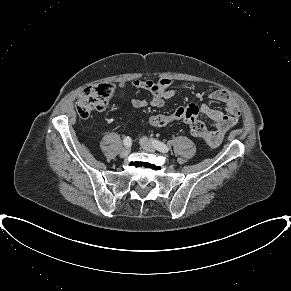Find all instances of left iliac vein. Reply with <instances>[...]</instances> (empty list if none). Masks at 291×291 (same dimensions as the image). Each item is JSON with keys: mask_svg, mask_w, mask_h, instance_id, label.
I'll list each match as a JSON object with an SVG mask.
<instances>
[{"mask_svg": "<svg viewBox=\"0 0 291 291\" xmlns=\"http://www.w3.org/2000/svg\"><path fill=\"white\" fill-rule=\"evenodd\" d=\"M140 145L147 152L154 153L156 151L155 146L150 141H148L146 138L140 139Z\"/></svg>", "mask_w": 291, "mask_h": 291, "instance_id": "4c4485c4", "label": "left iliac vein"}]
</instances>
